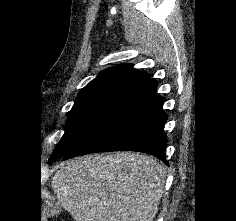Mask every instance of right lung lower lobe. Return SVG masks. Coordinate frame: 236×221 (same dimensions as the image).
<instances>
[{"label":"right lung lower lobe","mask_w":236,"mask_h":221,"mask_svg":"<svg viewBox=\"0 0 236 221\" xmlns=\"http://www.w3.org/2000/svg\"><path fill=\"white\" fill-rule=\"evenodd\" d=\"M156 86L157 83L137 93L63 156V160L94 152L137 151L166 162L167 139L163 127L167 116L162 109L163 99L155 95Z\"/></svg>","instance_id":"1"}]
</instances>
